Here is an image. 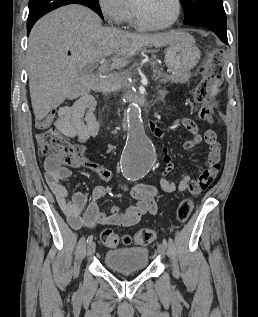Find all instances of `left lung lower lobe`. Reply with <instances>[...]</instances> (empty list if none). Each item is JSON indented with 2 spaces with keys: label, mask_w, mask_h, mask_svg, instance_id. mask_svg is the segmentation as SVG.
<instances>
[{
  "label": "left lung lower lobe",
  "mask_w": 258,
  "mask_h": 317,
  "mask_svg": "<svg viewBox=\"0 0 258 317\" xmlns=\"http://www.w3.org/2000/svg\"><path fill=\"white\" fill-rule=\"evenodd\" d=\"M199 27H204L213 31L224 43L228 44L226 29H222L216 26H199Z\"/></svg>",
  "instance_id": "0a47b994"
}]
</instances>
